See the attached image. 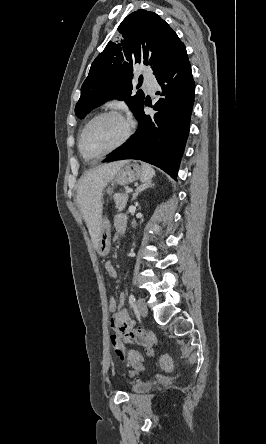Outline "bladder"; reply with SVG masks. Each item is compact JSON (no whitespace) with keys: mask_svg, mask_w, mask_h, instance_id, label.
<instances>
[{"mask_svg":"<svg viewBox=\"0 0 266 444\" xmlns=\"http://www.w3.org/2000/svg\"><path fill=\"white\" fill-rule=\"evenodd\" d=\"M153 388L151 383H136L132 386V392L136 394H143L149 392Z\"/></svg>","mask_w":266,"mask_h":444,"instance_id":"1","label":"bladder"}]
</instances>
